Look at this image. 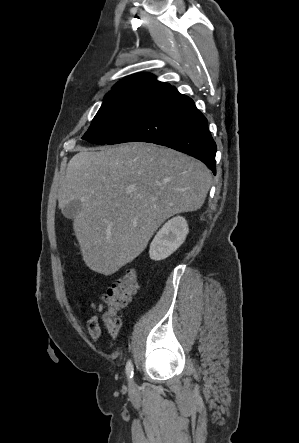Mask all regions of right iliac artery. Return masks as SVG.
Listing matches in <instances>:
<instances>
[{
	"label": "right iliac artery",
	"mask_w": 299,
	"mask_h": 443,
	"mask_svg": "<svg viewBox=\"0 0 299 443\" xmlns=\"http://www.w3.org/2000/svg\"><path fill=\"white\" fill-rule=\"evenodd\" d=\"M126 374L129 380L133 378V364L131 360H129L126 364Z\"/></svg>",
	"instance_id": "1"
}]
</instances>
